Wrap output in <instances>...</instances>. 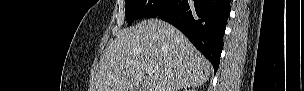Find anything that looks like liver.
<instances>
[{"instance_id": "1", "label": "liver", "mask_w": 304, "mask_h": 91, "mask_svg": "<svg viewBox=\"0 0 304 91\" xmlns=\"http://www.w3.org/2000/svg\"><path fill=\"white\" fill-rule=\"evenodd\" d=\"M146 67L153 74L145 78ZM211 63L174 26L143 20L122 30L104 52L95 91H179L203 85Z\"/></svg>"}]
</instances>
